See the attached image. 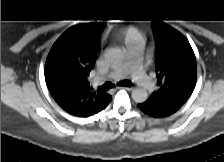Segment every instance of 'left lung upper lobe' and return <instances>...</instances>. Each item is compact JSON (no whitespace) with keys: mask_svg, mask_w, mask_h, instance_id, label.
I'll use <instances>...</instances> for the list:
<instances>
[{"mask_svg":"<svg viewBox=\"0 0 224 162\" xmlns=\"http://www.w3.org/2000/svg\"><path fill=\"white\" fill-rule=\"evenodd\" d=\"M151 24L156 41L155 69L160 88L147 101L181 106L196 84L194 52L188 40L176 30L160 23Z\"/></svg>","mask_w":224,"mask_h":162,"instance_id":"left-lung-upper-lobe-1","label":"left lung upper lobe"}]
</instances>
